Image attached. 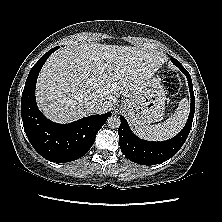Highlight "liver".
I'll return each instance as SVG.
<instances>
[{"label":"liver","instance_id":"6515ba94","mask_svg":"<svg viewBox=\"0 0 222 222\" xmlns=\"http://www.w3.org/2000/svg\"><path fill=\"white\" fill-rule=\"evenodd\" d=\"M167 60L146 48L85 43L63 47L46 61L36 85V100L47 118L68 123L93 114L85 103L109 110L118 97L138 95Z\"/></svg>","mask_w":222,"mask_h":222}]
</instances>
